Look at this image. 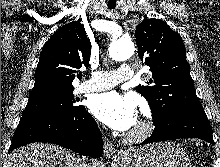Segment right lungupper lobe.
Masks as SVG:
<instances>
[{
    "instance_id": "obj_1",
    "label": "right lung upper lobe",
    "mask_w": 220,
    "mask_h": 167,
    "mask_svg": "<svg viewBox=\"0 0 220 167\" xmlns=\"http://www.w3.org/2000/svg\"><path fill=\"white\" fill-rule=\"evenodd\" d=\"M90 54L84 26L79 22L63 25L43 46L29 99L72 89V81L82 77L79 69L89 66Z\"/></svg>"
}]
</instances>
